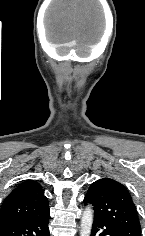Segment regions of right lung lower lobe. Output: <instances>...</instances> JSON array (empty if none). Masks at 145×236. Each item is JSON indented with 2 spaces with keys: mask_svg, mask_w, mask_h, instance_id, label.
Here are the masks:
<instances>
[{
  "mask_svg": "<svg viewBox=\"0 0 145 236\" xmlns=\"http://www.w3.org/2000/svg\"><path fill=\"white\" fill-rule=\"evenodd\" d=\"M49 210L41 215L13 221L0 226V236H50Z\"/></svg>",
  "mask_w": 145,
  "mask_h": 236,
  "instance_id": "1",
  "label": "right lung lower lobe"
}]
</instances>
